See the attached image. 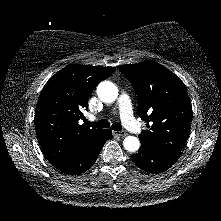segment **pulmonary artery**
<instances>
[{"label": "pulmonary artery", "mask_w": 221, "mask_h": 221, "mask_svg": "<svg viewBox=\"0 0 221 221\" xmlns=\"http://www.w3.org/2000/svg\"><path fill=\"white\" fill-rule=\"evenodd\" d=\"M117 105L124 126L133 133H140L142 131V127L133 116L131 101L126 93H122L119 96Z\"/></svg>", "instance_id": "1"}]
</instances>
